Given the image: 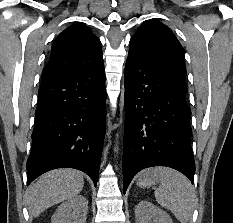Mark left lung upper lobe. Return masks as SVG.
Segmentation results:
<instances>
[{
	"label": "left lung upper lobe",
	"instance_id": "left-lung-upper-lobe-1",
	"mask_svg": "<svg viewBox=\"0 0 233 223\" xmlns=\"http://www.w3.org/2000/svg\"><path fill=\"white\" fill-rule=\"evenodd\" d=\"M130 47L136 48L157 66L186 77L185 51L171 29L163 23L154 20L143 23L131 38Z\"/></svg>",
	"mask_w": 233,
	"mask_h": 223
}]
</instances>
